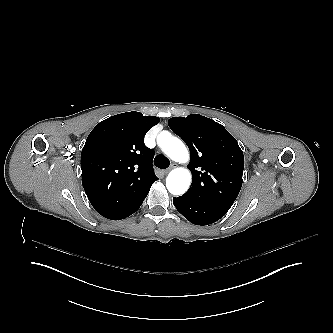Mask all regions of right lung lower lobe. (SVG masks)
<instances>
[{
  "label": "right lung lower lobe",
  "instance_id": "obj_1",
  "mask_svg": "<svg viewBox=\"0 0 333 333\" xmlns=\"http://www.w3.org/2000/svg\"><path fill=\"white\" fill-rule=\"evenodd\" d=\"M156 180L154 173L117 177L103 163L82 169V184L90 203L99 214L112 220L136 212Z\"/></svg>",
  "mask_w": 333,
  "mask_h": 333
}]
</instances>
